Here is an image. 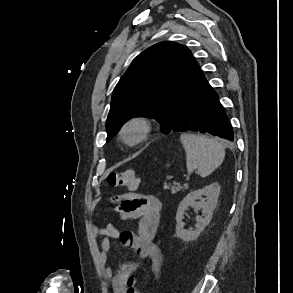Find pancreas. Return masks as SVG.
Returning <instances> with one entry per match:
<instances>
[{
  "label": "pancreas",
  "instance_id": "cf45deb5",
  "mask_svg": "<svg viewBox=\"0 0 293 293\" xmlns=\"http://www.w3.org/2000/svg\"><path fill=\"white\" fill-rule=\"evenodd\" d=\"M186 188H188L187 184H185L184 186H181L179 183H174L173 186H170L166 183L164 184V189H170L172 194H176L180 190H184Z\"/></svg>",
  "mask_w": 293,
  "mask_h": 293
}]
</instances>
